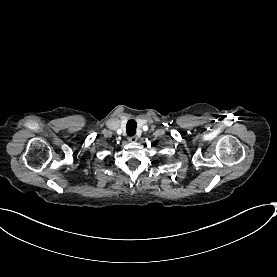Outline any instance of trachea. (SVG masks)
<instances>
[{
  "mask_svg": "<svg viewBox=\"0 0 277 277\" xmlns=\"http://www.w3.org/2000/svg\"><path fill=\"white\" fill-rule=\"evenodd\" d=\"M136 128H137V123L134 119H130L127 122L126 125V132L129 136H134L136 134Z\"/></svg>",
  "mask_w": 277,
  "mask_h": 277,
  "instance_id": "3493384b",
  "label": "trachea"
}]
</instances>
